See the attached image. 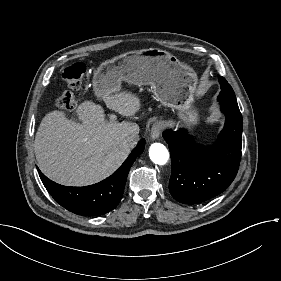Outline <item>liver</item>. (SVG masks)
I'll list each match as a JSON object with an SVG mask.
<instances>
[{
    "label": "liver",
    "mask_w": 281,
    "mask_h": 281,
    "mask_svg": "<svg viewBox=\"0 0 281 281\" xmlns=\"http://www.w3.org/2000/svg\"><path fill=\"white\" fill-rule=\"evenodd\" d=\"M109 109L130 117L140 109V99L131 92L104 96ZM76 113L82 123L53 111L42 119L35 136L34 151L40 170L65 186L95 184L112 174L127 158L135 143H125L123 134L138 135L131 122H109L104 109L92 101L81 103Z\"/></svg>",
    "instance_id": "liver-1"
}]
</instances>
